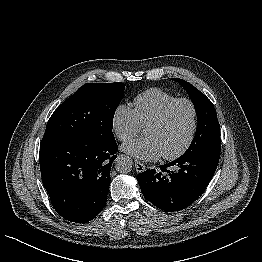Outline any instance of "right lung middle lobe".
<instances>
[{
  "label": "right lung middle lobe",
  "instance_id": "dd1d6c3e",
  "mask_svg": "<svg viewBox=\"0 0 262 262\" xmlns=\"http://www.w3.org/2000/svg\"><path fill=\"white\" fill-rule=\"evenodd\" d=\"M124 87L121 82L83 85L54 111L43 139L61 136L113 138V117L124 97Z\"/></svg>",
  "mask_w": 262,
  "mask_h": 262
}]
</instances>
